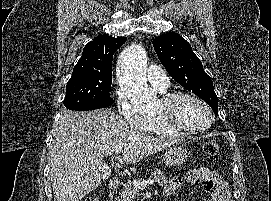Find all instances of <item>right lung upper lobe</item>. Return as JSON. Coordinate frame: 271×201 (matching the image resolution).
Instances as JSON below:
<instances>
[{"instance_id": "cb5924a9", "label": "right lung upper lobe", "mask_w": 271, "mask_h": 201, "mask_svg": "<svg viewBox=\"0 0 271 201\" xmlns=\"http://www.w3.org/2000/svg\"><path fill=\"white\" fill-rule=\"evenodd\" d=\"M125 42L126 37L98 35L84 47L72 74H112L113 55Z\"/></svg>"}]
</instances>
